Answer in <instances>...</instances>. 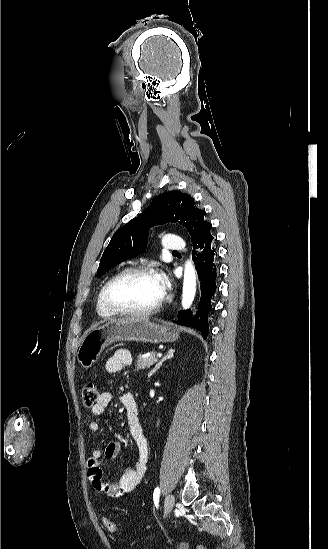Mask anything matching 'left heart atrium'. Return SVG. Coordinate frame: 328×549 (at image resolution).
<instances>
[{"label": "left heart atrium", "mask_w": 328, "mask_h": 549, "mask_svg": "<svg viewBox=\"0 0 328 549\" xmlns=\"http://www.w3.org/2000/svg\"><path fill=\"white\" fill-rule=\"evenodd\" d=\"M157 277H158V283H159V286H160V290H161L162 294H165L166 291L168 290V288L170 287V282H169L168 276L164 273H158Z\"/></svg>", "instance_id": "left-heart-atrium-1"}]
</instances>
